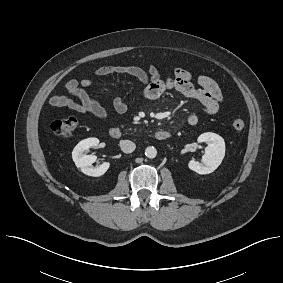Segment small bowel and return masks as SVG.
Wrapping results in <instances>:
<instances>
[{"label": "small bowel", "mask_w": 283, "mask_h": 283, "mask_svg": "<svg viewBox=\"0 0 283 283\" xmlns=\"http://www.w3.org/2000/svg\"><path fill=\"white\" fill-rule=\"evenodd\" d=\"M110 74L129 75L138 79L144 85L143 96L148 100H155L168 90H175L183 96L199 102L206 112L216 115L219 112L223 95L218 84L208 76H199L198 87L194 85L192 75L185 69L177 67L173 71L172 78L163 79L159 71L153 65L148 66H105L100 67L89 77L80 81L70 79L65 83L67 94H54L49 98L52 107L68 108L79 113H92L96 117L105 119L108 116L107 110L95 100L88 89L94 81ZM113 108L118 113L127 110V104L122 97L117 96L113 100ZM199 122L197 114H190L187 123L195 126Z\"/></svg>", "instance_id": "1"}]
</instances>
